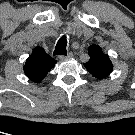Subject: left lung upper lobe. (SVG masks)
<instances>
[{"instance_id": "1", "label": "left lung upper lobe", "mask_w": 135, "mask_h": 135, "mask_svg": "<svg viewBox=\"0 0 135 135\" xmlns=\"http://www.w3.org/2000/svg\"><path fill=\"white\" fill-rule=\"evenodd\" d=\"M88 55L90 60L84 63L87 71L98 79L108 77L113 70L108 54H104L98 45L92 44L88 49Z\"/></svg>"}]
</instances>
